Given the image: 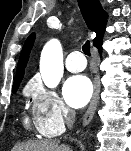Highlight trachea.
Returning a JSON list of instances; mask_svg holds the SVG:
<instances>
[{"mask_svg":"<svg viewBox=\"0 0 131 151\" xmlns=\"http://www.w3.org/2000/svg\"><path fill=\"white\" fill-rule=\"evenodd\" d=\"M82 50H83L84 54H86L87 56L91 55V53H90V41L89 40L84 43V45L82 46Z\"/></svg>","mask_w":131,"mask_h":151,"instance_id":"trachea-1","label":"trachea"}]
</instances>
